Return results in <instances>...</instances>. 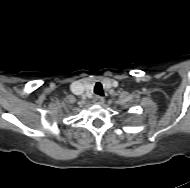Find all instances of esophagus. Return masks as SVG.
Returning <instances> with one entry per match:
<instances>
[{
  "mask_svg": "<svg viewBox=\"0 0 190 188\" xmlns=\"http://www.w3.org/2000/svg\"><path fill=\"white\" fill-rule=\"evenodd\" d=\"M104 102H105V99H104V97H102V96H96V97L94 98V103H95V104L103 105Z\"/></svg>",
  "mask_w": 190,
  "mask_h": 188,
  "instance_id": "esophagus-1",
  "label": "esophagus"
}]
</instances>
